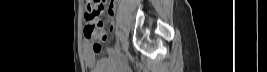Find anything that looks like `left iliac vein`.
<instances>
[{"label": "left iliac vein", "instance_id": "obj_1", "mask_svg": "<svg viewBox=\"0 0 267 72\" xmlns=\"http://www.w3.org/2000/svg\"><path fill=\"white\" fill-rule=\"evenodd\" d=\"M128 46H129L128 39L124 38L123 42H122V51H123V58L124 59H126V53L128 51Z\"/></svg>", "mask_w": 267, "mask_h": 72}]
</instances>
